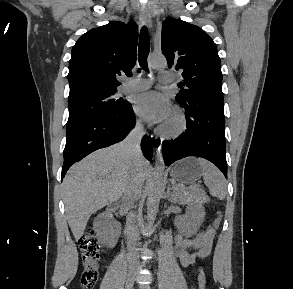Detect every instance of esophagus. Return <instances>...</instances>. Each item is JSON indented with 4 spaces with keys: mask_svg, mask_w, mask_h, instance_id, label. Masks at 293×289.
Returning a JSON list of instances; mask_svg holds the SVG:
<instances>
[{
    "mask_svg": "<svg viewBox=\"0 0 293 289\" xmlns=\"http://www.w3.org/2000/svg\"><path fill=\"white\" fill-rule=\"evenodd\" d=\"M139 18L142 24L146 25L148 28L152 27V21L149 12L146 9H141L139 12ZM153 146L157 152L160 151L162 146V140L154 135H150Z\"/></svg>",
    "mask_w": 293,
    "mask_h": 289,
    "instance_id": "obj_1",
    "label": "esophagus"
}]
</instances>
